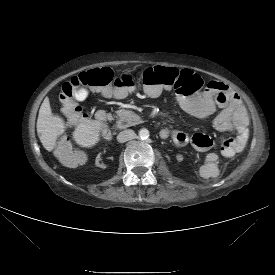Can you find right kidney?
<instances>
[{"label": "right kidney", "instance_id": "1", "mask_svg": "<svg viewBox=\"0 0 275 275\" xmlns=\"http://www.w3.org/2000/svg\"><path fill=\"white\" fill-rule=\"evenodd\" d=\"M95 163L101 168H109L111 166V161L109 159L105 158V155L103 153H98L96 155Z\"/></svg>", "mask_w": 275, "mask_h": 275}]
</instances>
